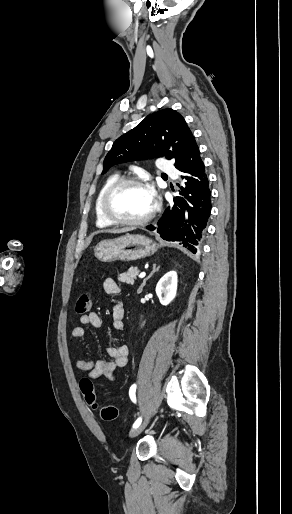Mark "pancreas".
Instances as JSON below:
<instances>
[{
	"label": "pancreas",
	"instance_id": "pancreas-1",
	"mask_svg": "<svg viewBox=\"0 0 292 514\" xmlns=\"http://www.w3.org/2000/svg\"><path fill=\"white\" fill-rule=\"evenodd\" d=\"M138 274V268H129L128 272L120 274L118 280H120V282H126V284H134V280H136V276H138Z\"/></svg>",
	"mask_w": 292,
	"mask_h": 514
}]
</instances>
